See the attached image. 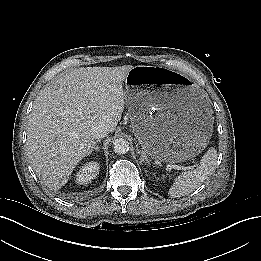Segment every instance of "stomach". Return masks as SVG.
Here are the masks:
<instances>
[{
  "mask_svg": "<svg viewBox=\"0 0 261 261\" xmlns=\"http://www.w3.org/2000/svg\"><path fill=\"white\" fill-rule=\"evenodd\" d=\"M156 75L169 79L150 82ZM125 89L133 131L150 158L183 162L205 148L212 135L211 112L187 78L160 67L135 66Z\"/></svg>",
  "mask_w": 261,
  "mask_h": 261,
  "instance_id": "obj_1",
  "label": "stomach"
}]
</instances>
